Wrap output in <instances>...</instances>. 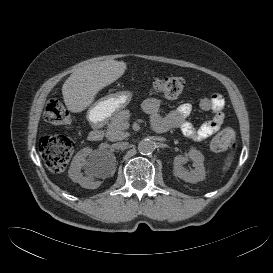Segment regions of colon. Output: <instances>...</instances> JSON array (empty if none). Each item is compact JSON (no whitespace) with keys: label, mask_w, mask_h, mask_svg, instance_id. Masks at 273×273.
<instances>
[{"label":"colon","mask_w":273,"mask_h":273,"mask_svg":"<svg viewBox=\"0 0 273 273\" xmlns=\"http://www.w3.org/2000/svg\"><path fill=\"white\" fill-rule=\"evenodd\" d=\"M150 87L157 94L176 98L185 90L186 81L179 76L160 77L153 79ZM44 116L49 123L54 125H68L70 123L68 112L61 99L49 100ZM235 143L234 132L224 129L212 139L210 147L213 151L223 152L234 149ZM39 151L51 171L62 172L74 151V142L66 136H47L40 140Z\"/></svg>","instance_id":"obj_1"}]
</instances>
